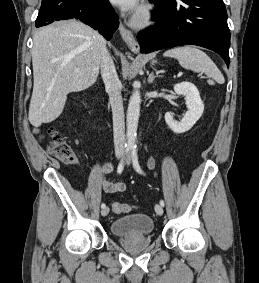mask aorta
Instances as JSON below:
<instances>
[{"mask_svg": "<svg viewBox=\"0 0 259 283\" xmlns=\"http://www.w3.org/2000/svg\"><path fill=\"white\" fill-rule=\"evenodd\" d=\"M140 82H134V92L130 97L127 117H126V126H127V143L130 146H134L136 142L137 136V126L138 120L140 116V104H141V96H140Z\"/></svg>", "mask_w": 259, "mask_h": 283, "instance_id": "1", "label": "aorta"}]
</instances>
